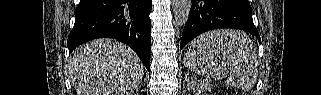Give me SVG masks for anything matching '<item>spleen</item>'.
I'll list each match as a JSON object with an SVG mask.
<instances>
[{"label":"spleen","instance_id":"1","mask_svg":"<svg viewBox=\"0 0 321 95\" xmlns=\"http://www.w3.org/2000/svg\"><path fill=\"white\" fill-rule=\"evenodd\" d=\"M220 54L223 62L215 58ZM184 65L194 73L210 75L215 80L228 76L227 85L244 91L254 86L258 75L253 41L246 33L235 30H216L200 35L190 43Z\"/></svg>","mask_w":321,"mask_h":95}]
</instances>
